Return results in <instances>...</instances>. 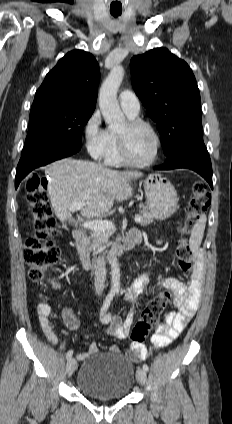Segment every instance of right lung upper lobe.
Wrapping results in <instances>:
<instances>
[{
    "label": "right lung upper lobe",
    "instance_id": "obj_1",
    "mask_svg": "<svg viewBox=\"0 0 232 424\" xmlns=\"http://www.w3.org/2000/svg\"><path fill=\"white\" fill-rule=\"evenodd\" d=\"M100 69L88 52L74 50L59 60L36 91L32 108L70 105L94 110Z\"/></svg>",
    "mask_w": 232,
    "mask_h": 424
}]
</instances>
